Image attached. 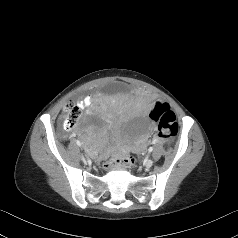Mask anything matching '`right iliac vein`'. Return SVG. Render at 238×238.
I'll list each match as a JSON object with an SVG mask.
<instances>
[{
	"label": "right iliac vein",
	"mask_w": 238,
	"mask_h": 238,
	"mask_svg": "<svg viewBox=\"0 0 238 238\" xmlns=\"http://www.w3.org/2000/svg\"><path fill=\"white\" fill-rule=\"evenodd\" d=\"M81 160L84 162V164H87V160L84 158L83 155H80Z\"/></svg>",
	"instance_id": "1"
}]
</instances>
